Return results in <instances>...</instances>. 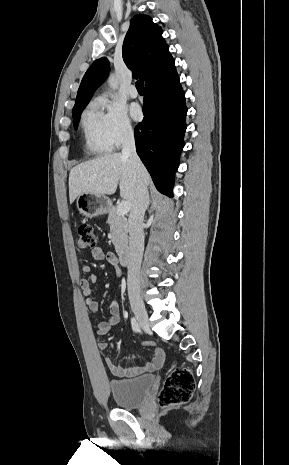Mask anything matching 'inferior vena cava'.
<instances>
[{
	"label": "inferior vena cava",
	"mask_w": 289,
	"mask_h": 465,
	"mask_svg": "<svg viewBox=\"0 0 289 465\" xmlns=\"http://www.w3.org/2000/svg\"><path fill=\"white\" fill-rule=\"evenodd\" d=\"M122 156L130 159L134 169L139 170L141 163L135 147L134 133L128 128L123 133ZM149 204L147 184L137 176V198L129 216L130 252L128 263V295L131 302L140 299V266L144 251L143 219Z\"/></svg>",
	"instance_id": "obj_1"
}]
</instances>
